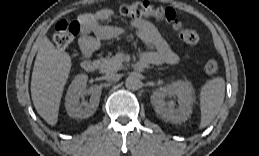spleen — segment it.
Instances as JSON below:
<instances>
[{
    "label": "spleen",
    "mask_w": 259,
    "mask_h": 156,
    "mask_svg": "<svg viewBox=\"0 0 259 156\" xmlns=\"http://www.w3.org/2000/svg\"><path fill=\"white\" fill-rule=\"evenodd\" d=\"M225 97V80L215 77L207 81L199 93L201 119L199 128H205L217 116Z\"/></svg>",
    "instance_id": "obj_1"
}]
</instances>
